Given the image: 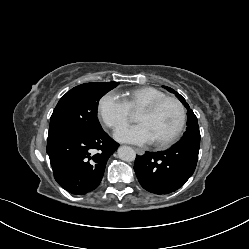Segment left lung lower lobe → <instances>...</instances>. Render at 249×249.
<instances>
[{"mask_svg": "<svg viewBox=\"0 0 249 249\" xmlns=\"http://www.w3.org/2000/svg\"><path fill=\"white\" fill-rule=\"evenodd\" d=\"M200 143H177L160 152L136 156L134 170L141 186L155 194H168L182 187L193 174Z\"/></svg>", "mask_w": 249, "mask_h": 249, "instance_id": "1", "label": "left lung lower lobe"}]
</instances>
